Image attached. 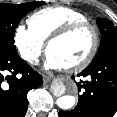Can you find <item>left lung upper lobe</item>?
<instances>
[{"label": "left lung upper lobe", "mask_w": 117, "mask_h": 117, "mask_svg": "<svg viewBox=\"0 0 117 117\" xmlns=\"http://www.w3.org/2000/svg\"><path fill=\"white\" fill-rule=\"evenodd\" d=\"M96 22L102 38L99 50L91 64L102 58L112 48L117 47V27L114 26L113 22L104 18H97Z\"/></svg>", "instance_id": "5c2ea615"}]
</instances>
